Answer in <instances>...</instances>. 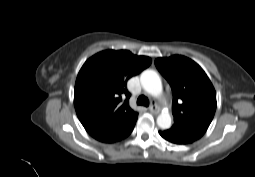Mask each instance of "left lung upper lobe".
<instances>
[{
	"instance_id": "left-lung-upper-lobe-1",
	"label": "left lung upper lobe",
	"mask_w": 255,
	"mask_h": 177,
	"mask_svg": "<svg viewBox=\"0 0 255 177\" xmlns=\"http://www.w3.org/2000/svg\"><path fill=\"white\" fill-rule=\"evenodd\" d=\"M155 65L172 88L174 124L169 131L189 142L201 138L216 110V92L203 69L193 60L173 55Z\"/></svg>"
}]
</instances>
